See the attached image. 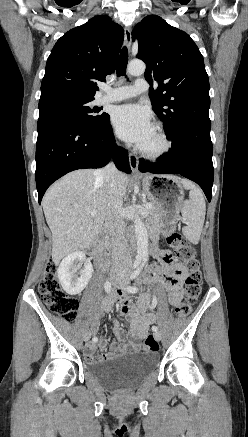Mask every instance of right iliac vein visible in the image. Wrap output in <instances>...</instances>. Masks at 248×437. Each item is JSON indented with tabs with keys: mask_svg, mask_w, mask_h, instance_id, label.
Segmentation results:
<instances>
[{
	"mask_svg": "<svg viewBox=\"0 0 248 437\" xmlns=\"http://www.w3.org/2000/svg\"><path fill=\"white\" fill-rule=\"evenodd\" d=\"M111 280L113 283H116V281L118 280V276L117 275H113L111 276ZM90 339V334L89 333H85L84 334V340L88 341Z\"/></svg>",
	"mask_w": 248,
	"mask_h": 437,
	"instance_id": "right-iliac-vein-1",
	"label": "right iliac vein"
}]
</instances>
